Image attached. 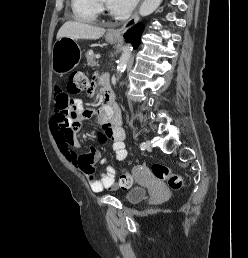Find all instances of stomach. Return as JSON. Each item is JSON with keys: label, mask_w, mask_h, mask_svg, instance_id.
Listing matches in <instances>:
<instances>
[{"label": "stomach", "mask_w": 248, "mask_h": 258, "mask_svg": "<svg viewBox=\"0 0 248 258\" xmlns=\"http://www.w3.org/2000/svg\"><path fill=\"white\" fill-rule=\"evenodd\" d=\"M106 40L114 44L118 37L106 36ZM82 51L76 39L62 37L58 39L52 48L51 66L55 73L64 75L72 71L80 62Z\"/></svg>", "instance_id": "0dacf381"}]
</instances>
